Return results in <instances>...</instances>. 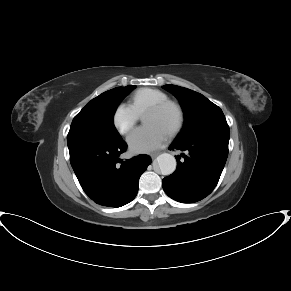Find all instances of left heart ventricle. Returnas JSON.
I'll use <instances>...</instances> for the list:
<instances>
[{
  "instance_id": "1",
  "label": "left heart ventricle",
  "mask_w": 291,
  "mask_h": 291,
  "mask_svg": "<svg viewBox=\"0 0 291 291\" xmlns=\"http://www.w3.org/2000/svg\"><path fill=\"white\" fill-rule=\"evenodd\" d=\"M174 117L173 111L167 109L163 112H146L143 114L142 120L145 124H153L169 132Z\"/></svg>"
}]
</instances>
